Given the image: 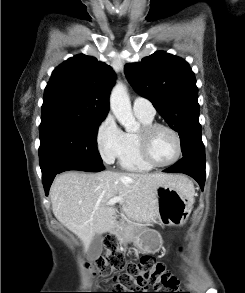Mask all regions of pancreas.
<instances>
[{"label":"pancreas","mask_w":245,"mask_h":293,"mask_svg":"<svg viewBox=\"0 0 245 293\" xmlns=\"http://www.w3.org/2000/svg\"><path fill=\"white\" fill-rule=\"evenodd\" d=\"M143 228L140 220L128 218L120 222L116 229V236L120 243H126L135 233Z\"/></svg>","instance_id":"1"}]
</instances>
